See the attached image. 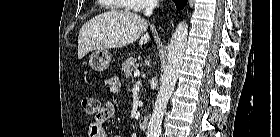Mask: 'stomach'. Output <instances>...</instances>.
I'll list each match as a JSON object with an SVG mask.
<instances>
[{
  "instance_id": "stomach-1",
  "label": "stomach",
  "mask_w": 280,
  "mask_h": 137,
  "mask_svg": "<svg viewBox=\"0 0 280 137\" xmlns=\"http://www.w3.org/2000/svg\"><path fill=\"white\" fill-rule=\"evenodd\" d=\"M111 63V54L107 49L97 50L89 59L90 67L95 71L106 70Z\"/></svg>"
}]
</instances>
